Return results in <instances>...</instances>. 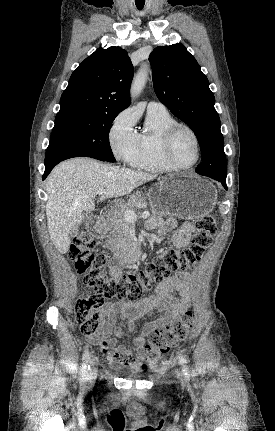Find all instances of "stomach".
<instances>
[{
  "label": "stomach",
  "mask_w": 275,
  "mask_h": 431,
  "mask_svg": "<svg viewBox=\"0 0 275 431\" xmlns=\"http://www.w3.org/2000/svg\"><path fill=\"white\" fill-rule=\"evenodd\" d=\"M150 199L155 211L195 220L212 212L217 191L204 179L177 174L164 177Z\"/></svg>",
  "instance_id": "stomach-1"
}]
</instances>
